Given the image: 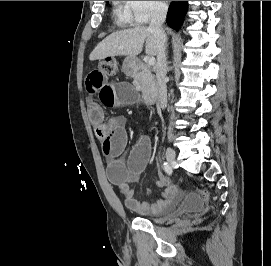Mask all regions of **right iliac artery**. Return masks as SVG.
<instances>
[{
	"instance_id": "right-iliac-artery-1",
	"label": "right iliac artery",
	"mask_w": 271,
	"mask_h": 266,
	"mask_svg": "<svg viewBox=\"0 0 271 266\" xmlns=\"http://www.w3.org/2000/svg\"><path fill=\"white\" fill-rule=\"evenodd\" d=\"M163 168L168 175L172 174V167L170 166V164L165 162Z\"/></svg>"
}]
</instances>
